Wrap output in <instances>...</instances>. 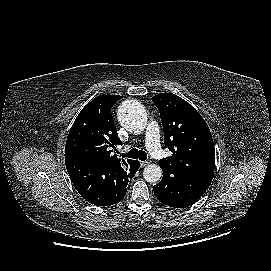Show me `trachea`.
<instances>
[{
	"label": "trachea",
	"mask_w": 271,
	"mask_h": 271,
	"mask_svg": "<svg viewBox=\"0 0 271 271\" xmlns=\"http://www.w3.org/2000/svg\"><path fill=\"white\" fill-rule=\"evenodd\" d=\"M122 157H129L133 159H139L141 161H145L147 159V153L142 150H138L136 148L131 149L128 153L122 154Z\"/></svg>",
	"instance_id": "1"
}]
</instances>
